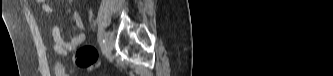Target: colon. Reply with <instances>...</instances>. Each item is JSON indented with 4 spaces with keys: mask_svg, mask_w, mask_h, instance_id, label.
Here are the masks:
<instances>
[{
    "mask_svg": "<svg viewBox=\"0 0 333 76\" xmlns=\"http://www.w3.org/2000/svg\"><path fill=\"white\" fill-rule=\"evenodd\" d=\"M98 53L92 45L80 47L75 55V64L81 69H90L96 63Z\"/></svg>",
    "mask_w": 333,
    "mask_h": 76,
    "instance_id": "colon-1",
    "label": "colon"
}]
</instances>
